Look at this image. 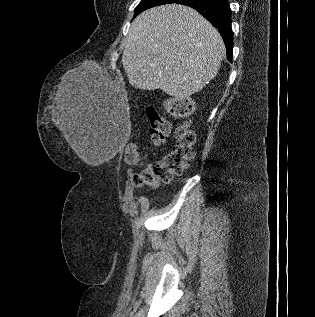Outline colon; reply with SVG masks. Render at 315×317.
Masks as SVG:
<instances>
[{
	"instance_id": "obj_1",
	"label": "colon",
	"mask_w": 315,
	"mask_h": 317,
	"mask_svg": "<svg viewBox=\"0 0 315 317\" xmlns=\"http://www.w3.org/2000/svg\"><path fill=\"white\" fill-rule=\"evenodd\" d=\"M168 111L175 117L186 118L191 112L188 101H173L168 104ZM150 122V137L153 149L160 148L170 132L169 122L153 106L147 108ZM176 142L171 151L161 159L148 163L133 177L137 187H157L162 183L171 181L187 168L194 156L195 134L189 122L184 120L175 130ZM142 151L136 144H131L126 149V161L136 164L141 160Z\"/></svg>"
}]
</instances>
